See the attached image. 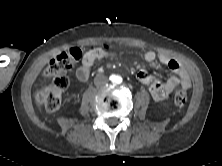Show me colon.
Returning a JSON list of instances; mask_svg holds the SVG:
<instances>
[{
  "label": "colon",
  "mask_w": 222,
  "mask_h": 166,
  "mask_svg": "<svg viewBox=\"0 0 222 166\" xmlns=\"http://www.w3.org/2000/svg\"><path fill=\"white\" fill-rule=\"evenodd\" d=\"M82 51L79 48H71L53 58L44 70V76L51 79L37 93V101L49 112H55L60 108L62 94L69 85L65 71L73 67L81 58ZM188 97L186 88L179 87L174 93L176 105L183 106Z\"/></svg>",
  "instance_id": "5ec220e1"
}]
</instances>
